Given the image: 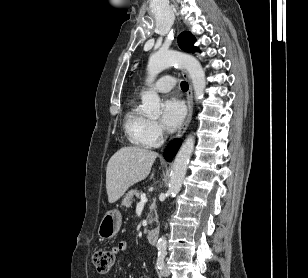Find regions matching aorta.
<instances>
[{"label": "aorta", "mask_w": 308, "mask_h": 278, "mask_svg": "<svg viewBox=\"0 0 308 278\" xmlns=\"http://www.w3.org/2000/svg\"><path fill=\"white\" fill-rule=\"evenodd\" d=\"M170 66H181L188 71L192 80L195 98L196 100L202 99L206 87L205 72L195 57L185 53L159 51L152 54L147 65L148 83H152L161 71ZM160 104V98L155 91L150 90L142 95V110L148 117L157 118L160 115ZM194 143V136L189 135L176 155L169 183V193L173 198L181 190L187 166L194 149ZM166 245V237L162 236L159 238L157 248L165 250Z\"/></svg>", "instance_id": "762f6f07"}]
</instances>
